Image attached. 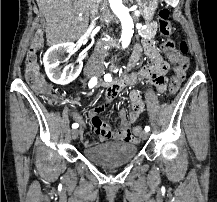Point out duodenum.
Returning a JSON list of instances; mask_svg holds the SVG:
<instances>
[{
	"instance_id": "obj_1",
	"label": "duodenum",
	"mask_w": 217,
	"mask_h": 202,
	"mask_svg": "<svg viewBox=\"0 0 217 202\" xmlns=\"http://www.w3.org/2000/svg\"><path fill=\"white\" fill-rule=\"evenodd\" d=\"M135 61H136V57L133 56L132 59H131V61H130L129 67H128V69H127V72H125V74L123 75L124 77L127 76L128 71H129L130 68L133 66V64H134ZM103 85H109V84H108V83H105V84H103Z\"/></svg>"
}]
</instances>
